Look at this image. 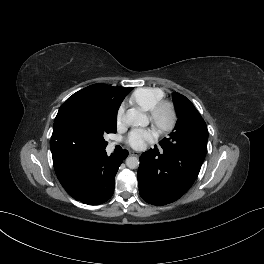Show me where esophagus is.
Segmentation results:
<instances>
[{
	"label": "esophagus",
	"instance_id": "34e87169",
	"mask_svg": "<svg viewBox=\"0 0 264 264\" xmlns=\"http://www.w3.org/2000/svg\"><path fill=\"white\" fill-rule=\"evenodd\" d=\"M130 155L138 156V153H136V152H134V151H131V152H130Z\"/></svg>",
	"mask_w": 264,
	"mask_h": 264
}]
</instances>
